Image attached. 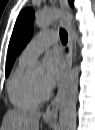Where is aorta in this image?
Listing matches in <instances>:
<instances>
[{
    "mask_svg": "<svg viewBox=\"0 0 95 130\" xmlns=\"http://www.w3.org/2000/svg\"><path fill=\"white\" fill-rule=\"evenodd\" d=\"M58 19L71 20L74 23V16L68 11L49 8L42 11L35 18V25L43 28ZM35 73L40 71V66L35 64ZM79 67L77 65L67 75L60 94L59 105V130H76V103L78 95Z\"/></svg>",
    "mask_w": 95,
    "mask_h": 130,
    "instance_id": "aorta-1",
    "label": "aorta"
}]
</instances>
